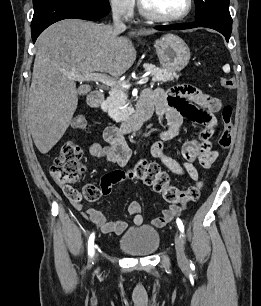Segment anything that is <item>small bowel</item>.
Returning <instances> with one entry per match:
<instances>
[{
  "instance_id": "obj_1",
  "label": "small bowel",
  "mask_w": 261,
  "mask_h": 306,
  "mask_svg": "<svg viewBox=\"0 0 261 306\" xmlns=\"http://www.w3.org/2000/svg\"><path fill=\"white\" fill-rule=\"evenodd\" d=\"M142 98L151 103L158 123L166 125L160 130L159 139L151 146L152 156L171 173L179 176L186 175L192 180H197L199 173L193 163L198 161L203 168H209L218 157V151L212 148L211 137L218 125L215 114L222 108L221 101L201 88L186 84L175 86L169 91L162 89L146 91ZM185 119L194 124L203 125L205 128L195 138L182 145L181 153L184 161L178 162L166 153V145L179 134ZM104 139L106 142L104 145L94 142L89 146V155L121 167L125 166L130 158V150L120 132L114 127H109L104 133ZM107 176L108 174L101 182L105 195L110 194L113 186L119 183L108 181ZM91 186H85L83 191ZM63 190L75 209L85 219L96 224L103 233L121 235L126 231V222L110 219L94 208H84L80 199L71 195L65 188ZM185 203L180 202L164 209L160 216L152 220V225L157 228L165 226L183 210ZM141 210V205L137 201H132L128 206V212L133 217L135 226L143 223Z\"/></svg>"
}]
</instances>
